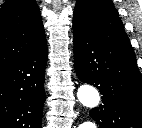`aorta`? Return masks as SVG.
<instances>
[{
  "label": "aorta",
  "instance_id": "obj_1",
  "mask_svg": "<svg viewBox=\"0 0 142 128\" xmlns=\"http://www.w3.org/2000/svg\"><path fill=\"white\" fill-rule=\"evenodd\" d=\"M79 102L87 108H95L100 103L98 91L91 85H82L77 91ZM80 128H96L93 122L87 121L81 124Z\"/></svg>",
  "mask_w": 142,
  "mask_h": 128
}]
</instances>
